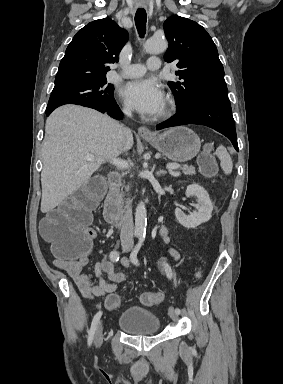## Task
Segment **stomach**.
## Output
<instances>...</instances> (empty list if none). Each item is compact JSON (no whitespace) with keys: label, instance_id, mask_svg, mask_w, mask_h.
<instances>
[{"label":"stomach","instance_id":"1","mask_svg":"<svg viewBox=\"0 0 283 384\" xmlns=\"http://www.w3.org/2000/svg\"><path fill=\"white\" fill-rule=\"evenodd\" d=\"M144 140L173 162L192 160L198 154L201 146L197 134L184 126L172 128L163 134H156L155 138H144Z\"/></svg>","mask_w":283,"mask_h":384}]
</instances>
